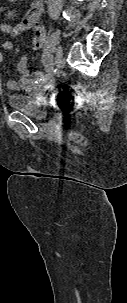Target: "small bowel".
Instances as JSON below:
<instances>
[{
    "label": "small bowel",
    "instance_id": "c3829d8e",
    "mask_svg": "<svg viewBox=\"0 0 127 303\" xmlns=\"http://www.w3.org/2000/svg\"><path fill=\"white\" fill-rule=\"evenodd\" d=\"M15 2L17 0H8ZM42 13V4L39 0H34L23 17L22 21L13 26L8 23L0 24V39L6 34H18L25 30L33 29V45L35 49H42L41 55V71L31 72L29 66V58L27 55H23L17 66L18 79L8 80L7 88L11 91H31L35 85L50 83V75L53 72V56L47 47V37L45 29L38 25L40 16ZM3 48L10 49L12 47L11 42H4ZM3 61V54L0 51V64Z\"/></svg>",
    "mask_w": 127,
    "mask_h": 303
}]
</instances>
